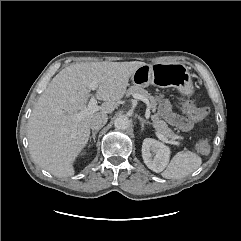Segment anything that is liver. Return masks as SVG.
<instances>
[{
    "label": "liver",
    "mask_w": 241,
    "mask_h": 241,
    "mask_svg": "<svg viewBox=\"0 0 241 241\" xmlns=\"http://www.w3.org/2000/svg\"><path fill=\"white\" fill-rule=\"evenodd\" d=\"M145 64L84 62L61 70L39 97L28 121L29 150L35 164L59 178L74 175L73 163L88 142L91 120L117 109L130 77ZM94 80L99 81L95 96L104 103L77 121L74 115L87 108L88 84Z\"/></svg>",
    "instance_id": "obj_1"
}]
</instances>
